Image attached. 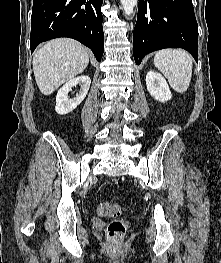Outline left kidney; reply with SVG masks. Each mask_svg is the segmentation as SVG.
<instances>
[{
	"instance_id": "5707ae66",
	"label": "left kidney",
	"mask_w": 221,
	"mask_h": 263,
	"mask_svg": "<svg viewBox=\"0 0 221 263\" xmlns=\"http://www.w3.org/2000/svg\"><path fill=\"white\" fill-rule=\"evenodd\" d=\"M147 90L155 100L166 102L172 98L170 88L165 78L156 71H149L146 75Z\"/></svg>"
}]
</instances>
